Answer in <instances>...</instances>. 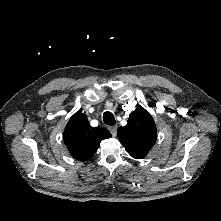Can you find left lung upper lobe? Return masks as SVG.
I'll list each match as a JSON object with an SVG mask.
<instances>
[{"label":"left lung upper lobe","mask_w":221,"mask_h":221,"mask_svg":"<svg viewBox=\"0 0 221 221\" xmlns=\"http://www.w3.org/2000/svg\"><path fill=\"white\" fill-rule=\"evenodd\" d=\"M117 135L128 153L136 159H141L154 145L157 129L149 112L138 107L130 114L127 125L118 128Z\"/></svg>","instance_id":"left-lung-upper-lobe-1"}]
</instances>
